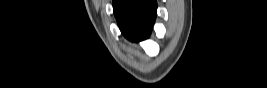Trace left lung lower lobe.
Wrapping results in <instances>:
<instances>
[{"label": "left lung lower lobe", "mask_w": 267, "mask_h": 88, "mask_svg": "<svg viewBox=\"0 0 267 88\" xmlns=\"http://www.w3.org/2000/svg\"><path fill=\"white\" fill-rule=\"evenodd\" d=\"M114 14L122 33L131 41L147 38L156 16L153 0H114Z\"/></svg>", "instance_id": "0a47b994"}]
</instances>
